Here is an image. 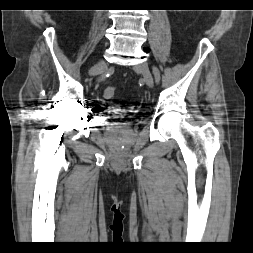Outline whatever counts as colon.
<instances>
[{
	"label": "colon",
	"instance_id": "colon-1",
	"mask_svg": "<svg viewBox=\"0 0 253 253\" xmlns=\"http://www.w3.org/2000/svg\"><path fill=\"white\" fill-rule=\"evenodd\" d=\"M116 93V88L113 86H108L105 90H104V96L105 98H113L114 95Z\"/></svg>",
	"mask_w": 253,
	"mask_h": 253
}]
</instances>
